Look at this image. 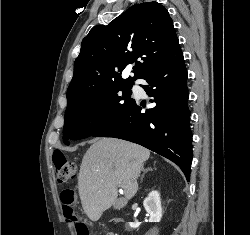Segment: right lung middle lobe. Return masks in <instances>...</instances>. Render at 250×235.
Listing matches in <instances>:
<instances>
[{
  "label": "right lung middle lobe",
  "instance_id": "dd1d6c3e",
  "mask_svg": "<svg viewBox=\"0 0 250 235\" xmlns=\"http://www.w3.org/2000/svg\"><path fill=\"white\" fill-rule=\"evenodd\" d=\"M122 91V94L119 92ZM131 87L109 86L80 96L67 104L63 142L93 136L133 101Z\"/></svg>",
  "mask_w": 250,
  "mask_h": 235
}]
</instances>
